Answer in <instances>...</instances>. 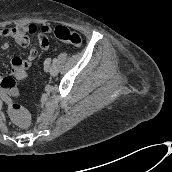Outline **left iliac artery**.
Masks as SVG:
<instances>
[{"label": "left iliac artery", "mask_w": 172, "mask_h": 172, "mask_svg": "<svg viewBox=\"0 0 172 172\" xmlns=\"http://www.w3.org/2000/svg\"><path fill=\"white\" fill-rule=\"evenodd\" d=\"M57 62V59L55 58V59H53V63H56Z\"/></svg>", "instance_id": "obj_1"}]
</instances>
